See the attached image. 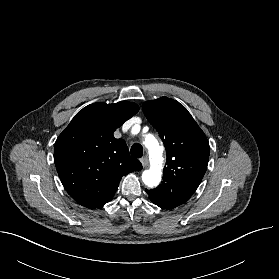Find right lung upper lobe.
Returning <instances> with one entry per match:
<instances>
[{
  "instance_id": "1",
  "label": "right lung upper lobe",
  "mask_w": 279,
  "mask_h": 279,
  "mask_svg": "<svg viewBox=\"0 0 279 279\" xmlns=\"http://www.w3.org/2000/svg\"><path fill=\"white\" fill-rule=\"evenodd\" d=\"M138 110V105L128 101L90 104L57 138L56 169L77 203L89 209L103 207L113 198L122 176L142 169L129 155L125 141L113 136Z\"/></svg>"
}]
</instances>
